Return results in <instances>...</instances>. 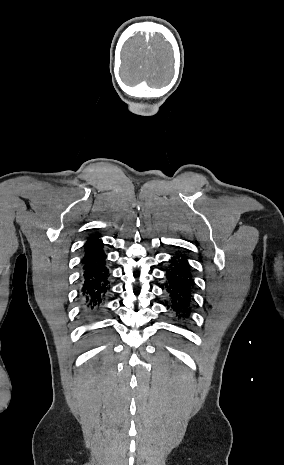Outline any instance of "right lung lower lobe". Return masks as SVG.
I'll list each match as a JSON object with an SVG mask.
<instances>
[{"mask_svg": "<svg viewBox=\"0 0 284 465\" xmlns=\"http://www.w3.org/2000/svg\"><path fill=\"white\" fill-rule=\"evenodd\" d=\"M106 255L101 240L85 248L82 259V288L79 297L85 306L84 316L96 317L102 311L111 292V275L106 267Z\"/></svg>", "mask_w": 284, "mask_h": 465, "instance_id": "1", "label": "right lung lower lobe"}]
</instances>
